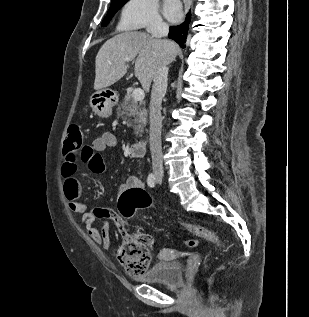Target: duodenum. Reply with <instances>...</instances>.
<instances>
[{
  "label": "duodenum",
  "instance_id": "duodenum-1",
  "mask_svg": "<svg viewBox=\"0 0 309 317\" xmlns=\"http://www.w3.org/2000/svg\"><path fill=\"white\" fill-rule=\"evenodd\" d=\"M146 151V144L143 140L137 141L128 148V155L130 157H142Z\"/></svg>",
  "mask_w": 309,
  "mask_h": 317
}]
</instances>
